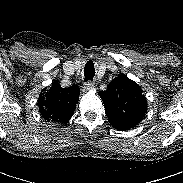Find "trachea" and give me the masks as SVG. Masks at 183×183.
Returning <instances> with one entry per match:
<instances>
[{"label": "trachea", "mask_w": 183, "mask_h": 183, "mask_svg": "<svg viewBox=\"0 0 183 183\" xmlns=\"http://www.w3.org/2000/svg\"><path fill=\"white\" fill-rule=\"evenodd\" d=\"M94 75H95L94 63L91 60H89L84 68V79L86 81L88 80L92 81Z\"/></svg>", "instance_id": "trachea-1"}]
</instances>
